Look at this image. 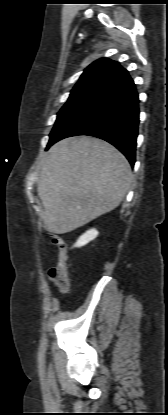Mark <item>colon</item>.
<instances>
[{
  "label": "colon",
  "mask_w": 168,
  "mask_h": 415,
  "mask_svg": "<svg viewBox=\"0 0 168 415\" xmlns=\"http://www.w3.org/2000/svg\"><path fill=\"white\" fill-rule=\"evenodd\" d=\"M51 237L54 246L58 250V263L48 271V277L60 291L64 292L67 291L70 286L66 246L60 235L52 234Z\"/></svg>",
  "instance_id": "5ec220e1"
}]
</instances>
